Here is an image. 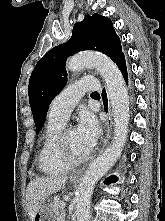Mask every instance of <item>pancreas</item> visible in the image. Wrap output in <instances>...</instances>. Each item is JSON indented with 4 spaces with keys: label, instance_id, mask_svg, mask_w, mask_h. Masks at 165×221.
Returning <instances> with one entry per match:
<instances>
[{
    "label": "pancreas",
    "instance_id": "pancreas-1",
    "mask_svg": "<svg viewBox=\"0 0 165 221\" xmlns=\"http://www.w3.org/2000/svg\"><path fill=\"white\" fill-rule=\"evenodd\" d=\"M53 213L57 216V221H64L65 208L61 205V202H54L52 204Z\"/></svg>",
    "mask_w": 165,
    "mask_h": 221
}]
</instances>
